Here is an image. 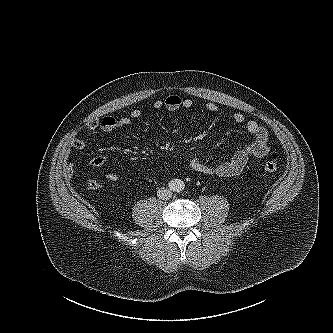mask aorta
Masks as SVG:
<instances>
[{"label": "aorta", "instance_id": "aorta-1", "mask_svg": "<svg viewBox=\"0 0 333 333\" xmlns=\"http://www.w3.org/2000/svg\"><path fill=\"white\" fill-rule=\"evenodd\" d=\"M184 183H183V181H181V180H176L175 182H174V190L175 191H177V192H179V191H182L183 189H184Z\"/></svg>", "mask_w": 333, "mask_h": 333}]
</instances>
